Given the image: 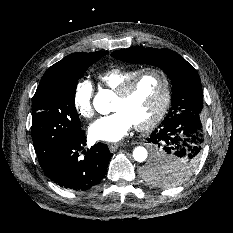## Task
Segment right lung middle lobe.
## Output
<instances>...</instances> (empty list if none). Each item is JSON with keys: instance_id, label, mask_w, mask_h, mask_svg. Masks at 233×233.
I'll list each match as a JSON object with an SVG mask.
<instances>
[{"instance_id": "obj_1", "label": "right lung middle lobe", "mask_w": 233, "mask_h": 233, "mask_svg": "<svg viewBox=\"0 0 233 233\" xmlns=\"http://www.w3.org/2000/svg\"><path fill=\"white\" fill-rule=\"evenodd\" d=\"M106 51L87 54L78 63L42 77L32 102V140L40 166L53 160L82 130L75 108L78 79Z\"/></svg>"}]
</instances>
